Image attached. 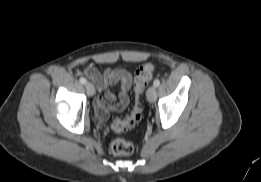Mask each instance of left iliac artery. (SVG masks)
<instances>
[{
    "label": "left iliac artery",
    "mask_w": 261,
    "mask_h": 182,
    "mask_svg": "<svg viewBox=\"0 0 261 182\" xmlns=\"http://www.w3.org/2000/svg\"><path fill=\"white\" fill-rule=\"evenodd\" d=\"M153 85L155 87H158L160 85V80L159 79H155L154 82H153Z\"/></svg>",
    "instance_id": "44dca946"
}]
</instances>
